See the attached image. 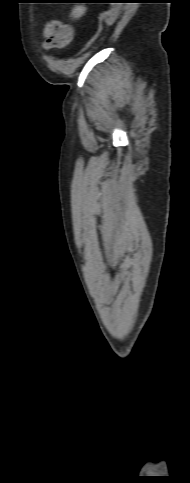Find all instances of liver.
Masks as SVG:
<instances>
[{
  "label": "liver",
  "instance_id": "6515ba94",
  "mask_svg": "<svg viewBox=\"0 0 190 483\" xmlns=\"http://www.w3.org/2000/svg\"><path fill=\"white\" fill-rule=\"evenodd\" d=\"M86 12V7L83 6V5H77L73 8L72 10V13H71V16L75 19H78L80 18L81 16H83Z\"/></svg>",
  "mask_w": 190,
  "mask_h": 483
}]
</instances>
